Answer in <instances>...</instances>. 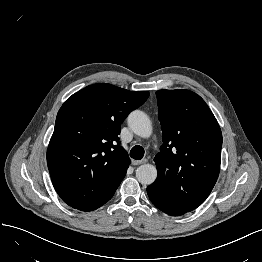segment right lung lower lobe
<instances>
[{"mask_svg":"<svg viewBox=\"0 0 262 262\" xmlns=\"http://www.w3.org/2000/svg\"><path fill=\"white\" fill-rule=\"evenodd\" d=\"M99 208V207H98ZM95 209H97V208H95ZM95 209H88V210H82V211H91V210H95Z\"/></svg>","mask_w":262,"mask_h":262,"instance_id":"1","label":"right lung lower lobe"}]
</instances>
